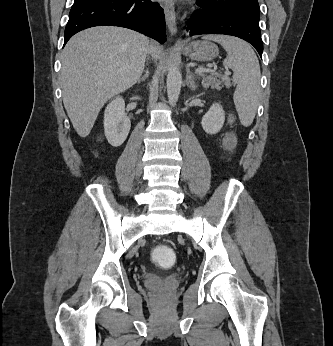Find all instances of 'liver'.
<instances>
[{"instance_id":"liver-1","label":"liver","mask_w":333,"mask_h":346,"mask_svg":"<svg viewBox=\"0 0 333 346\" xmlns=\"http://www.w3.org/2000/svg\"><path fill=\"white\" fill-rule=\"evenodd\" d=\"M148 54L163 56L156 42L135 31L112 26L83 30L62 52L64 107L80 137H87L103 105L132 87Z\"/></svg>"}]
</instances>
